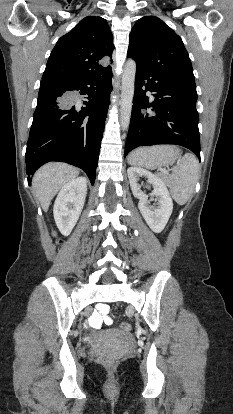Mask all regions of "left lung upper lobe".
<instances>
[{"label":"left lung upper lobe","instance_id":"5c2ea615","mask_svg":"<svg viewBox=\"0 0 233 414\" xmlns=\"http://www.w3.org/2000/svg\"><path fill=\"white\" fill-rule=\"evenodd\" d=\"M128 57L137 68L168 81L193 82L189 55L181 38L155 16L139 19L129 36Z\"/></svg>","mask_w":233,"mask_h":414}]
</instances>
